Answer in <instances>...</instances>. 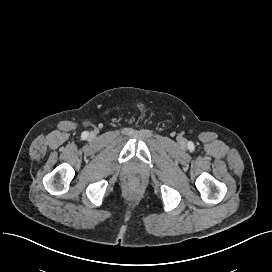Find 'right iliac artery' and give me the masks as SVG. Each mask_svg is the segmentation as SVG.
Wrapping results in <instances>:
<instances>
[{
    "label": "right iliac artery",
    "instance_id": "right-iliac-artery-1",
    "mask_svg": "<svg viewBox=\"0 0 272 272\" xmlns=\"http://www.w3.org/2000/svg\"><path fill=\"white\" fill-rule=\"evenodd\" d=\"M87 135H88V133H87V132H85V133L83 134V136H84V137H87Z\"/></svg>",
    "mask_w": 272,
    "mask_h": 272
}]
</instances>
